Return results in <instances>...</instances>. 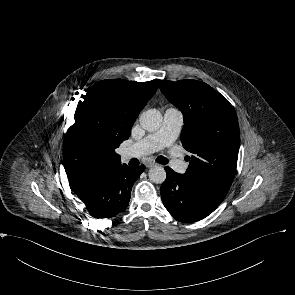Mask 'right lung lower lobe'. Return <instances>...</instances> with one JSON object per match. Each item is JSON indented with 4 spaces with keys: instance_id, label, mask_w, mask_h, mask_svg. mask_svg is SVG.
Masks as SVG:
<instances>
[{
    "instance_id": "98d812e1",
    "label": "right lung lower lobe",
    "mask_w": 295,
    "mask_h": 295,
    "mask_svg": "<svg viewBox=\"0 0 295 295\" xmlns=\"http://www.w3.org/2000/svg\"><path fill=\"white\" fill-rule=\"evenodd\" d=\"M145 166L126 164L101 170L87 179L76 192L94 218H109L123 212L131 196V189Z\"/></svg>"
}]
</instances>
